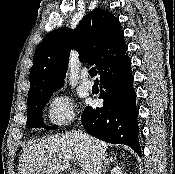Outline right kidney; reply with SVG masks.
Wrapping results in <instances>:
<instances>
[{
    "mask_svg": "<svg viewBox=\"0 0 175 174\" xmlns=\"http://www.w3.org/2000/svg\"><path fill=\"white\" fill-rule=\"evenodd\" d=\"M111 174H122L121 168L119 166L114 167L111 170Z\"/></svg>",
    "mask_w": 175,
    "mask_h": 174,
    "instance_id": "obj_1",
    "label": "right kidney"
}]
</instances>
